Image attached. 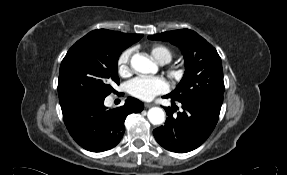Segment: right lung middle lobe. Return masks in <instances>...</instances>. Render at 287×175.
<instances>
[{
	"label": "right lung middle lobe",
	"instance_id": "obj_1",
	"mask_svg": "<svg viewBox=\"0 0 287 175\" xmlns=\"http://www.w3.org/2000/svg\"><path fill=\"white\" fill-rule=\"evenodd\" d=\"M131 44L88 33L64 57L59 71L60 105L78 99H103L119 84L118 58Z\"/></svg>",
	"mask_w": 287,
	"mask_h": 175
}]
</instances>
